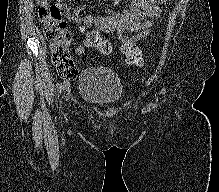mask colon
I'll return each mask as SVG.
<instances>
[{
	"label": "colon",
	"instance_id": "obj_1",
	"mask_svg": "<svg viewBox=\"0 0 219 192\" xmlns=\"http://www.w3.org/2000/svg\"><path fill=\"white\" fill-rule=\"evenodd\" d=\"M38 18L42 25L43 32L51 44L52 62L58 75L64 80H73L78 70L68 50L70 34L66 24L61 17L57 6L50 3V0H39ZM126 62L129 65H140L143 62V55L136 46L131 36H126L121 46ZM101 54L111 52L110 43L104 38L96 40V48Z\"/></svg>",
	"mask_w": 219,
	"mask_h": 192
}]
</instances>
